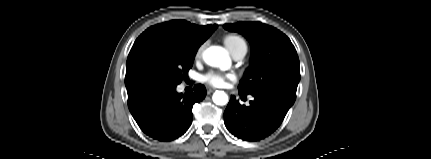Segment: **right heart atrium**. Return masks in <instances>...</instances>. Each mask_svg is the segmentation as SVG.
Instances as JSON below:
<instances>
[{
    "instance_id": "obj_1",
    "label": "right heart atrium",
    "mask_w": 431,
    "mask_h": 159,
    "mask_svg": "<svg viewBox=\"0 0 431 159\" xmlns=\"http://www.w3.org/2000/svg\"><path fill=\"white\" fill-rule=\"evenodd\" d=\"M203 46H200L197 51H196V56H200L201 52H202Z\"/></svg>"
}]
</instances>
